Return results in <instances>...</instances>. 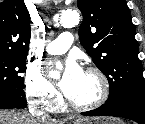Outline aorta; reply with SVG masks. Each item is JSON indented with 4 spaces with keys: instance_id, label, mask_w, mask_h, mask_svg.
I'll list each match as a JSON object with an SVG mask.
<instances>
[{
    "instance_id": "obj_1",
    "label": "aorta",
    "mask_w": 145,
    "mask_h": 124,
    "mask_svg": "<svg viewBox=\"0 0 145 124\" xmlns=\"http://www.w3.org/2000/svg\"><path fill=\"white\" fill-rule=\"evenodd\" d=\"M61 20L64 26L73 27L79 23L80 16L76 11H66L62 13ZM57 69H62V64L60 62L56 63ZM49 76L51 78L58 79L60 77V73L56 70L50 71Z\"/></svg>"
}]
</instances>
